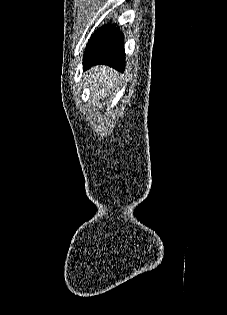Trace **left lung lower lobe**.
Segmentation results:
<instances>
[{
  "instance_id": "1",
  "label": "left lung lower lobe",
  "mask_w": 227,
  "mask_h": 315,
  "mask_svg": "<svg viewBox=\"0 0 227 315\" xmlns=\"http://www.w3.org/2000/svg\"><path fill=\"white\" fill-rule=\"evenodd\" d=\"M123 34L112 25L103 26L91 36L83 60V70L103 64L124 72L125 50Z\"/></svg>"
}]
</instances>
